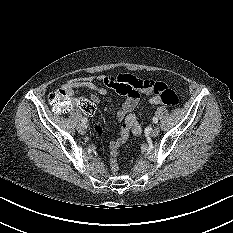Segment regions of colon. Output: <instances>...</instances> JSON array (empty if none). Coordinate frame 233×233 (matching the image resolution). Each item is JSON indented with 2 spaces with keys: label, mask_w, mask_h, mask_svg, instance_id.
Listing matches in <instances>:
<instances>
[{
  "label": "colon",
  "mask_w": 233,
  "mask_h": 233,
  "mask_svg": "<svg viewBox=\"0 0 233 233\" xmlns=\"http://www.w3.org/2000/svg\"><path fill=\"white\" fill-rule=\"evenodd\" d=\"M120 80V88L124 90H130L132 88H141L143 87L142 80L136 78L131 74H120L118 76ZM151 87L154 93L157 95V99L155 104H164L169 106H176L179 104V97L177 94L169 89L164 83L154 82L151 84ZM49 102L54 112L60 113L70 109L74 104L75 100L71 96H69L63 89H56L52 91L49 95ZM88 102V101H87ZM90 104L88 102L89 109ZM93 128H92V135L94 137H102L104 135V119L102 117H95L93 119ZM117 152L113 151L111 153V170L113 172H117L118 170V163H117Z\"/></svg>",
  "instance_id": "obj_1"
}]
</instances>
